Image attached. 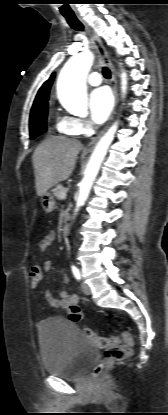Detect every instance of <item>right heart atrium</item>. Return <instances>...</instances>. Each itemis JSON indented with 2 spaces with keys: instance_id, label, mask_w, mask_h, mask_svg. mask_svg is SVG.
<instances>
[{
  "instance_id": "d8ad5b80",
  "label": "right heart atrium",
  "mask_w": 168,
  "mask_h": 415,
  "mask_svg": "<svg viewBox=\"0 0 168 415\" xmlns=\"http://www.w3.org/2000/svg\"><path fill=\"white\" fill-rule=\"evenodd\" d=\"M70 122L75 135H88L93 129L92 123L86 119L70 117Z\"/></svg>"
}]
</instances>
